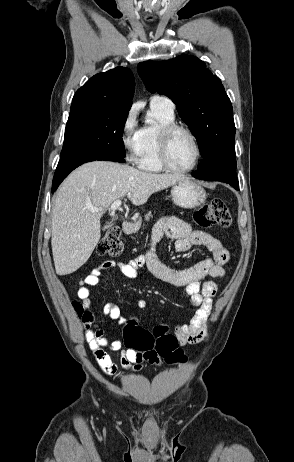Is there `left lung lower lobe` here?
<instances>
[{
    "mask_svg": "<svg viewBox=\"0 0 294 462\" xmlns=\"http://www.w3.org/2000/svg\"><path fill=\"white\" fill-rule=\"evenodd\" d=\"M192 175L198 179L222 181L239 190L235 153H223L204 158L198 170Z\"/></svg>",
    "mask_w": 294,
    "mask_h": 462,
    "instance_id": "0a47b994",
    "label": "left lung lower lobe"
}]
</instances>
